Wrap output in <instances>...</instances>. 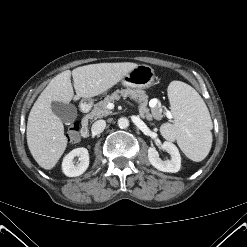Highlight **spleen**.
<instances>
[{
	"label": "spleen",
	"mask_w": 247,
	"mask_h": 247,
	"mask_svg": "<svg viewBox=\"0 0 247 247\" xmlns=\"http://www.w3.org/2000/svg\"><path fill=\"white\" fill-rule=\"evenodd\" d=\"M168 98L175 121L163 124L161 133L167 139L176 140L189 159L204 160L212 146L213 128L204 100L193 87L181 81L169 84Z\"/></svg>",
	"instance_id": "spleen-1"
}]
</instances>
